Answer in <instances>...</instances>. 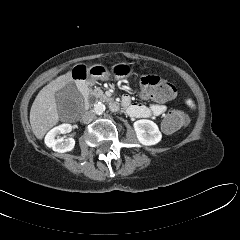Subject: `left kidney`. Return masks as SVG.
I'll use <instances>...</instances> for the list:
<instances>
[{
	"label": "left kidney",
	"mask_w": 240,
	"mask_h": 240,
	"mask_svg": "<svg viewBox=\"0 0 240 240\" xmlns=\"http://www.w3.org/2000/svg\"><path fill=\"white\" fill-rule=\"evenodd\" d=\"M138 141L145 146H151L159 143L162 134L158 126L151 120L141 119L133 124Z\"/></svg>",
	"instance_id": "left-kidney-1"
}]
</instances>
